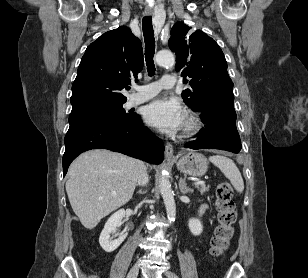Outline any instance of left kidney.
Masks as SVG:
<instances>
[{"mask_svg": "<svg viewBox=\"0 0 308 278\" xmlns=\"http://www.w3.org/2000/svg\"><path fill=\"white\" fill-rule=\"evenodd\" d=\"M188 226L191 233L195 236H199L203 231V226L199 219L191 218L188 222Z\"/></svg>", "mask_w": 308, "mask_h": 278, "instance_id": "5707ae66", "label": "left kidney"}]
</instances>
